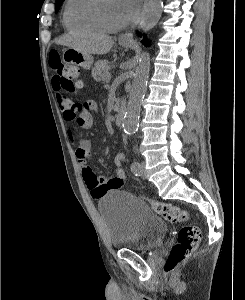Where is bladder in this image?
<instances>
[{
    "instance_id": "bladder-1",
    "label": "bladder",
    "mask_w": 245,
    "mask_h": 300,
    "mask_svg": "<svg viewBox=\"0 0 245 300\" xmlns=\"http://www.w3.org/2000/svg\"><path fill=\"white\" fill-rule=\"evenodd\" d=\"M98 210L107 228L108 241L115 249L153 251L163 243L168 231L165 221L146 203L124 191L102 196Z\"/></svg>"
}]
</instances>
